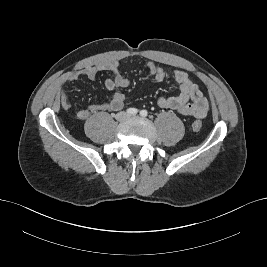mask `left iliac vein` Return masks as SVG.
Wrapping results in <instances>:
<instances>
[{
	"mask_svg": "<svg viewBox=\"0 0 267 267\" xmlns=\"http://www.w3.org/2000/svg\"><path fill=\"white\" fill-rule=\"evenodd\" d=\"M129 117H132V118H134V117H135V115H132V116H129Z\"/></svg>",
	"mask_w": 267,
	"mask_h": 267,
	"instance_id": "1",
	"label": "left iliac vein"
}]
</instances>
